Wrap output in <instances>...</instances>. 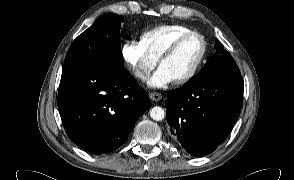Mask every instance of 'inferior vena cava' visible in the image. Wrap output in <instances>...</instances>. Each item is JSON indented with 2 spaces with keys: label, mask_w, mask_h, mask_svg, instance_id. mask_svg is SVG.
<instances>
[{
  "label": "inferior vena cava",
  "mask_w": 294,
  "mask_h": 180,
  "mask_svg": "<svg viewBox=\"0 0 294 180\" xmlns=\"http://www.w3.org/2000/svg\"><path fill=\"white\" fill-rule=\"evenodd\" d=\"M136 75L142 79L146 78L145 74H143L142 72H137Z\"/></svg>",
  "instance_id": "inferior-vena-cava-1"
}]
</instances>
